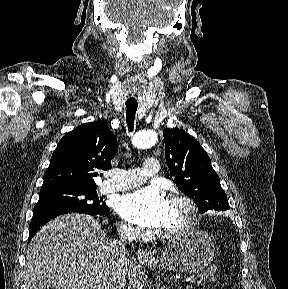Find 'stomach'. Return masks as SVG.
Returning <instances> with one entry per match:
<instances>
[{
	"label": "stomach",
	"instance_id": "0dacf381",
	"mask_svg": "<svg viewBox=\"0 0 288 289\" xmlns=\"http://www.w3.org/2000/svg\"><path fill=\"white\" fill-rule=\"evenodd\" d=\"M212 238L197 229L174 239L157 259L144 261L148 267L180 273H196L206 268L214 257Z\"/></svg>",
	"mask_w": 288,
	"mask_h": 289
}]
</instances>
